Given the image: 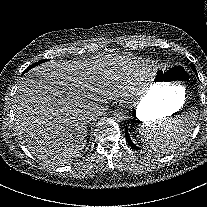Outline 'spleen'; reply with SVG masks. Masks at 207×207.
Instances as JSON below:
<instances>
[{
  "instance_id": "3e777b00",
  "label": "spleen",
  "mask_w": 207,
  "mask_h": 207,
  "mask_svg": "<svg viewBox=\"0 0 207 207\" xmlns=\"http://www.w3.org/2000/svg\"><path fill=\"white\" fill-rule=\"evenodd\" d=\"M198 125L197 112L188 109L179 116H172L158 124L141 128L137 132L136 140L144 148L172 149L189 137Z\"/></svg>"
}]
</instances>
